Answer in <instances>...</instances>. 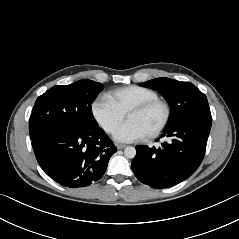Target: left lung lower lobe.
Masks as SVG:
<instances>
[{
  "label": "left lung lower lobe",
  "instance_id": "left-lung-lower-lobe-1",
  "mask_svg": "<svg viewBox=\"0 0 239 239\" xmlns=\"http://www.w3.org/2000/svg\"><path fill=\"white\" fill-rule=\"evenodd\" d=\"M211 118H189L167 125L161 147L137 146L132 170L139 181L153 188L172 187L190 177L201 164L211 129Z\"/></svg>",
  "mask_w": 239,
  "mask_h": 239
}]
</instances>
